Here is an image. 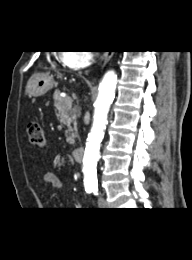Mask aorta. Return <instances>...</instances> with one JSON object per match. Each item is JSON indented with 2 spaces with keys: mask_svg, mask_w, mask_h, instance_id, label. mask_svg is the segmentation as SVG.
Instances as JSON below:
<instances>
[{
  "mask_svg": "<svg viewBox=\"0 0 192 260\" xmlns=\"http://www.w3.org/2000/svg\"><path fill=\"white\" fill-rule=\"evenodd\" d=\"M117 75L114 71H108L100 85L98 97L95 102L93 124L87 138L83 157L84 183L92 185L97 182V163L100 159V144L104 137L107 116L111 103L115 97Z\"/></svg>",
  "mask_w": 192,
  "mask_h": 260,
  "instance_id": "obj_1",
  "label": "aorta"
}]
</instances>
